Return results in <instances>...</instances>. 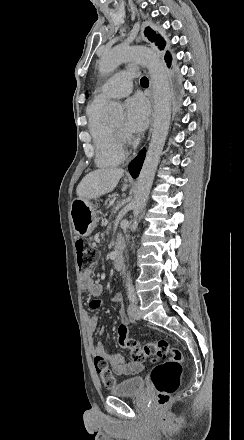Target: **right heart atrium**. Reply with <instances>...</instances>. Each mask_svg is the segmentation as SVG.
Wrapping results in <instances>:
<instances>
[{
  "label": "right heart atrium",
  "instance_id": "1",
  "mask_svg": "<svg viewBox=\"0 0 244 440\" xmlns=\"http://www.w3.org/2000/svg\"><path fill=\"white\" fill-rule=\"evenodd\" d=\"M118 138H123L125 141L124 142H126V141H129L130 140V137L129 136H127L126 134H124V133H118L117 134V137L115 138V141L118 139ZM117 142V141H116Z\"/></svg>",
  "mask_w": 244,
  "mask_h": 440
}]
</instances>
